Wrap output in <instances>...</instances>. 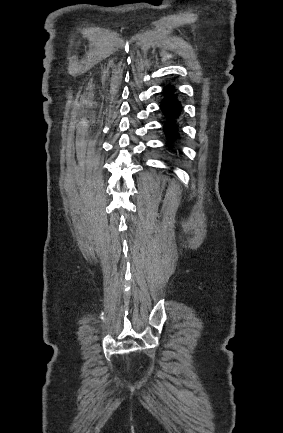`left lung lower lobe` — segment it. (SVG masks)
<instances>
[{"label":"left lung lower lobe","mask_w":283,"mask_h":433,"mask_svg":"<svg viewBox=\"0 0 283 433\" xmlns=\"http://www.w3.org/2000/svg\"><path fill=\"white\" fill-rule=\"evenodd\" d=\"M174 92V87L168 85L166 89H164L165 97L160 105L167 118L164 124V132L167 136V144L169 146L179 137L176 119L181 112V107L180 103L176 100L177 95L174 94Z\"/></svg>","instance_id":"0a47b994"}]
</instances>
